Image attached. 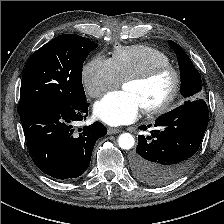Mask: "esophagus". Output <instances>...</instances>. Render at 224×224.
Wrapping results in <instances>:
<instances>
[{
    "label": "esophagus",
    "mask_w": 224,
    "mask_h": 224,
    "mask_svg": "<svg viewBox=\"0 0 224 224\" xmlns=\"http://www.w3.org/2000/svg\"><path fill=\"white\" fill-rule=\"evenodd\" d=\"M121 130L119 129H116V128H108V134L111 135V134H116V133H120Z\"/></svg>",
    "instance_id": "34e87169"
}]
</instances>
